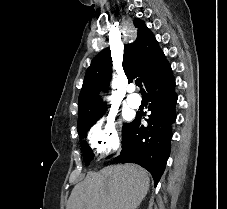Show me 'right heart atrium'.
<instances>
[{
	"label": "right heart atrium",
	"instance_id": "1",
	"mask_svg": "<svg viewBox=\"0 0 227 209\" xmlns=\"http://www.w3.org/2000/svg\"><path fill=\"white\" fill-rule=\"evenodd\" d=\"M88 141L97 154L107 155L119 145V137L112 120L98 122L89 131Z\"/></svg>",
	"mask_w": 227,
	"mask_h": 209
}]
</instances>
